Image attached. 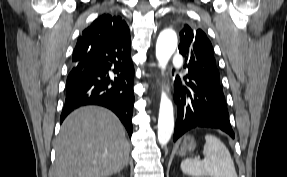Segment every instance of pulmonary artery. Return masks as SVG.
Here are the masks:
<instances>
[{"instance_id": "1", "label": "pulmonary artery", "mask_w": 287, "mask_h": 177, "mask_svg": "<svg viewBox=\"0 0 287 177\" xmlns=\"http://www.w3.org/2000/svg\"><path fill=\"white\" fill-rule=\"evenodd\" d=\"M183 64V57L180 54H175L172 58V65L174 67H179Z\"/></svg>"}]
</instances>
